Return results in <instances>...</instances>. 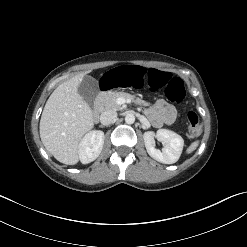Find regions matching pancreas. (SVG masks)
I'll return each instance as SVG.
<instances>
[{
    "instance_id": "pancreas-1",
    "label": "pancreas",
    "mask_w": 247,
    "mask_h": 247,
    "mask_svg": "<svg viewBox=\"0 0 247 247\" xmlns=\"http://www.w3.org/2000/svg\"><path fill=\"white\" fill-rule=\"evenodd\" d=\"M119 97H123L126 99L131 100L132 102L136 104H144V101L138 97H135L133 95H130L128 93L124 92H108V93H102L100 96V103L105 109H112V110H122L123 107L118 105L116 100Z\"/></svg>"
}]
</instances>
